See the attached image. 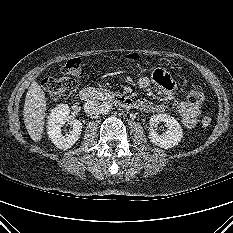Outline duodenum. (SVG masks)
<instances>
[{"label": "duodenum", "instance_id": "410a0bca", "mask_svg": "<svg viewBox=\"0 0 233 233\" xmlns=\"http://www.w3.org/2000/svg\"><path fill=\"white\" fill-rule=\"evenodd\" d=\"M80 99L86 102H93L96 100H111L125 109H132L137 106L130 97L120 93L106 92L97 88H83L79 93Z\"/></svg>", "mask_w": 233, "mask_h": 233}]
</instances>
